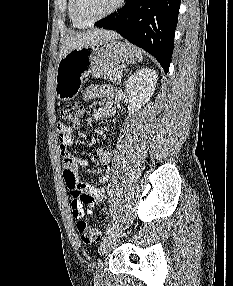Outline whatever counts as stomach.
<instances>
[{"instance_id":"obj_1","label":"stomach","mask_w":233,"mask_h":286,"mask_svg":"<svg viewBox=\"0 0 233 286\" xmlns=\"http://www.w3.org/2000/svg\"><path fill=\"white\" fill-rule=\"evenodd\" d=\"M136 49L117 39L73 49L57 63L55 93L58 99L67 101L80 91L85 75L104 65L134 63Z\"/></svg>"}]
</instances>
